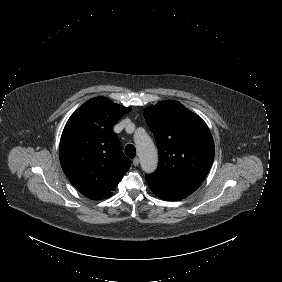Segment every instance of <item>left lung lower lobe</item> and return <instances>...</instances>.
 Instances as JSON below:
<instances>
[{"instance_id": "0a47b994", "label": "left lung lower lobe", "mask_w": 282, "mask_h": 282, "mask_svg": "<svg viewBox=\"0 0 282 282\" xmlns=\"http://www.w3.org/2000/svg\"><path fill=\"white\" fill-rule=\"evenodd\" d=\"M146 181L155 195L167 201L181 200L192 194L200 186V183L170 180L154 174L146 175Z\"/></svg>"}]
</instances>
